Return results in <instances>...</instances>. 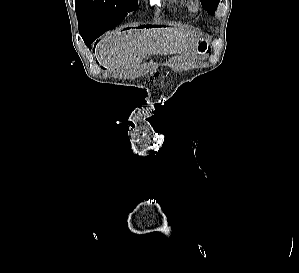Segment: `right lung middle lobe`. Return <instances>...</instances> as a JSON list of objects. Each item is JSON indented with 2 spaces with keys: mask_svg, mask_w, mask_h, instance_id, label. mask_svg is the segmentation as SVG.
I'll use <instances>...</instances> for the list:
<instances>
[{
  "mask_svg": "<svg viewBox=\"0 0 299 273\" xmlns=\"http://www.w3.org/2000/svg\"><path fill=\"white\" fill-rule=\"evenodd\" d=\"M80 34L115 28L129 12L138 9V0H75Z\"/></svg>",
  "mask_w": 299,
  "mask_h": 273,
  "instance_id": "1",
  "label": "right lung middle lobe"
}]
</instances>
